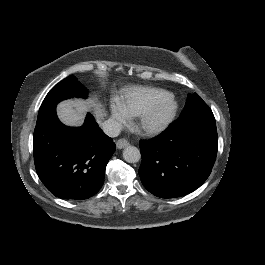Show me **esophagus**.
I'll use <instances>...</instances> for the list:
<instances>
[{
    "label": "esophagus",
    "mask_w": 265,
    "mask_h": 265,
    "mask_svg": "<svg viewBox=\"0 0 265 265\" xmlns=\"http://www.w3.org/2000/svg\"><path fill=\"white\" fill-rule=\"evenodd\" d=\"M128 145H129V143L124 138H121V139L117 140V142H116V147L118 149H123V148L127 147Z\"/></svg>",
    "instance_id": "34e87169"
}]
</instances>
